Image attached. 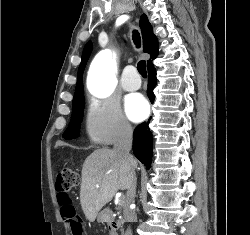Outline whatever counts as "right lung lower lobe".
Segmentation results:
<instances>
[{
	"label": "right lung lower lobe",
	"instance_id": "obj_1",
	"mask_svg": "<svg viewBox=\"0 0 250 235\" xmlns=\"http://www.w3.org/2000/svg\"><path fill=\"white\" fill-rule=\"evenodd\" d=\"M158 55V54H157ZM154 56V58L157 57ZM148 89L147 94L150 101L153 103L155 96L153 89L157 84L156 79V68L152 63V60L148 63ZM152 150H153V137L149 129L148 123L144 122L139 125L134 131V140H133V152L135 156L146 165L149 169L151 160H152Z\"/></svg>",
	"mask_w": 250,
	"mask_h": 235
}]
</instances>
